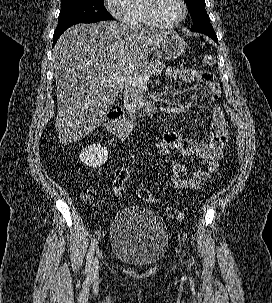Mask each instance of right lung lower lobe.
Masks as SVG:
<instances>
[{
  "label": "right lung lower lobe",
  "instance_id": "98d812e1",
  "mask_svg": "<svg viewBox=\"0 0 272 303\" xmlns=\"http://www.w3.org/2000/svg\"><path fill=\"white\" fill-rule=\"evenodd\" d=\"M64 31H65V30H64ZM64 31H61V32H54V36H53V46L56 44L58 38L60 37V35H61Z\"/></svg>",
  "mask_w": 272,
  "mask_h": 303
}]
</instances>
